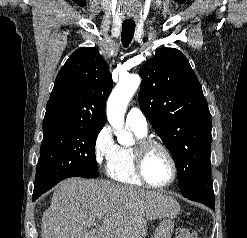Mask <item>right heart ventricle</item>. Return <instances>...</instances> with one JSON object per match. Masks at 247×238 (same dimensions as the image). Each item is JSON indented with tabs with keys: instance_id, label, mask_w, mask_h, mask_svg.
<instances>
[{
	"instance_id": "right-heart-ventricle-1",
	"label": "right heart ventricle",
	"mask_w": 247,
	"mask_h": 238,
	"mask_svg": "<svg viewBox=\"0 0 247 238\" xmlns=\"http://www.w3.org/2000/svg\"><path fill=\"white\" fill-rule=\"evenodd\" d=\"M138 139L146 137V133L131 128ZM106 173L113 181L129 185L142 186L143 182L138 177L134 165V147L117 145L114 154L106 166Z\"/></svg>"
}]
</instances>
